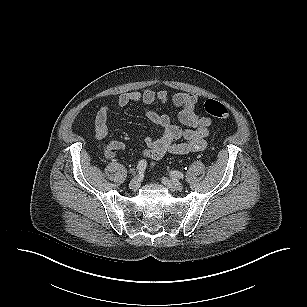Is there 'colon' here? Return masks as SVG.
<instances>
[{
    "instance_id": "1",
    "label": "colon",
    "mask_w": 307,
    "mask_h": 307,
    "mask_svg": "<svg viewBox=\"0 0 307 307\" xmlns=\"http://www.w3.org/2000/svg\"><path fill=\"white\" fill-rule=\"evenodd\" d=\"M204 110L208 115L219 120L226 119L229 116L226 107L222 103L214 99L206 100V102L204 103Z\"/></svg>"
}]
</instances>
